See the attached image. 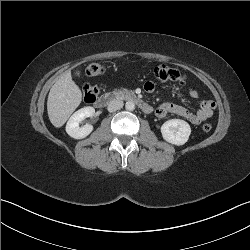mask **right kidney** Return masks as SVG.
<instances>
[{
	"label": "right kidney",
	"mask_w": 250,
	"mask_h": 250,
	"mask_svg": "<svg viewBox=\"0 0 250 250\" xmlns=\"http://www.w3.org/2000/svg\"><path fill=\"white\" fill-rule=\"evenodd\" d=\"M94 113L95 109L90 106L76 111L67 122V134L74 139H83L87 137L93 131V126L91 124H86L80 127L79 124L86 117H92Z\"/></svg>",
	"instance_id": "right-kidney-1"
}]
</instances>
